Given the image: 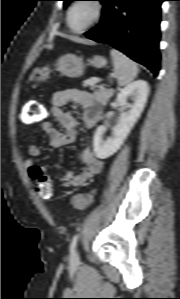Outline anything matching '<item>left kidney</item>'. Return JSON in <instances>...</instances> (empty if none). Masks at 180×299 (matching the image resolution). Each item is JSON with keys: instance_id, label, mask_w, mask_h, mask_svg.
Wrapping results in <instances>:
<instances>
[{"instance_id": "1", "label": "left kidney", "mask_w": 180, "mask_h": 299, "mask_svg": "<svg viewBox=\"0 0 180 299\" xmlns=\"http://www.w3.org/2000/svg\"><path fill=\"white\" fill-rule=\"evenodd\" d=\"M148 94V84L143 80L135 81L120 91L116 103L121 114L112 130L113 136L103 139L107 129L104 125L99 126L94 134V152L99 159L110 157L120 148L140 117Z\"/></svg>"}]
</instances>
